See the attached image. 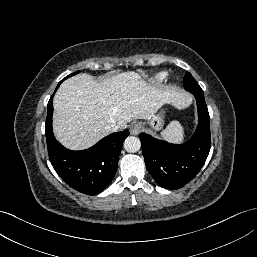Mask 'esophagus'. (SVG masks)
Listing matches in <instances>:
<instances>
[{
    "instance_id": "34e87169",
    "label": "esophagus",
    "mask_w": 257,
    "mask_h": 257,
    "mask_svg": "<svg viewBox=\"0 0 257 257\" xmlns=\"http://www.w3.org/2000/svg\"><path fill=\"white\" fill-rule=\"evenodd\" d=\"M141 129H142V126H141L140 123H134L130 127V133L132 135H137L140 132Z\"/></svg>"
}]
</instances>
